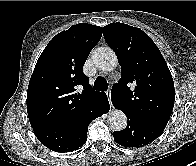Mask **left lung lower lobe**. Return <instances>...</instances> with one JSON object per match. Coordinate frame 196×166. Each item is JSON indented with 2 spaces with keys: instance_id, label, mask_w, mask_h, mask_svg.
Listing matches in <instances>:
<instances>
[{
  "instance_id": "obj_1",
  "label": "left lung lower lobe",
  "mask_w": 196,
  "mask_h": 166,
  "mask_svg": "<svg viewBox=\"0 0 196 166\" xmlns=\"http://www.w3.org/2000/svg\"><path fill=\"white\" fill-rule=\"evenodd\" d=\"M127 127L122 131H114L115 142L124 147H141L154 141L164 129L144 124L133 117L126 116Z\"/></svg>"
}]
</instances>
